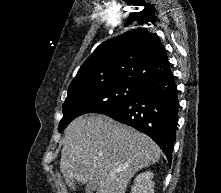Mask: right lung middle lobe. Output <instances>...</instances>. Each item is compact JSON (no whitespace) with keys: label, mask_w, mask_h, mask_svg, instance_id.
I'll return each instance as SVG.
<instances>
[{"label":"right lung middle lobe","mask_w":221,"mask_h":193,"mask_svg":"<svg viewBox=\"0 0 221 193\" xmlns=\"http://www.w3.org/2000/svg\"><path fill=\"white\" fill-rule=\"evenodd\" d=\"M141 86L142 83L117 82L68 90L58 131H63L78 116L100 113L131 99Z\"/></svg>","instance_id":"1"}]
</instances>
